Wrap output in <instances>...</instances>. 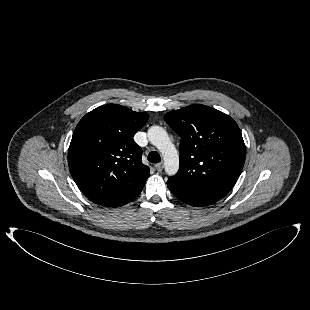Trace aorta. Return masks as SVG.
<instances>
[{"label":"aorta","instance_id":"762f6f07","mask_svg":"<svg viewBox=\"0 0 310 310\" xmlns=\"http://www.w3.org/2000/svg\"><path fill=\"white\" fill-rule=\"evenodd\" d=\"M148 139L162 154L165 171L174 175L179 169V155L166 130L160 126L148 129Z\"/></svg>","mask_w":310,"mask_h":310}]
</instances>
